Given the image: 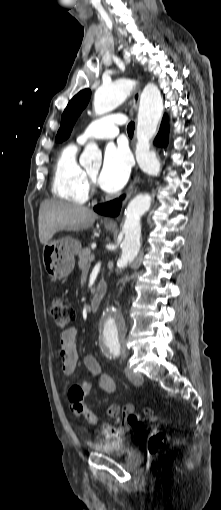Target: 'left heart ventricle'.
<instances>
[{"label": "left heart ventricle", "instance_id": "b2bd125f", "mask_svg": "<svg viewBox=\"0 0 221 510\" xmlns=\"http://www.w3.org/2000/svg\"><path fill=\"white\" fill-rule=\"evenodd\" d=\"M92 177L96 178L98 174V169H93L88 172Z\"/></svg>", "mask_w": 221, "mask_h": 510}]
</instances>
